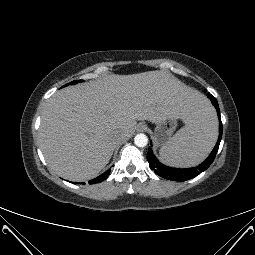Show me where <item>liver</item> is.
<instances>
[{"instance_id":"obj_1","label":"liver","mask_w":255,"mask_h":255,"mask_svg":"<svg viewBox=\"0 0 255 255\" xmlns=\"http://www.w3.org/2000/svg\"><path fill=\"white\" fill-rule=\"evenodd\" d=\"M207 100L166 71L109 75L64 88L44 106L40 146L48 165L61 177L81 182L109 163L120 141L137 120L157 123L175 116L189 123L200 101ZM120 132L122 140L114 134Z\"/></svg>"}]
</instances>
